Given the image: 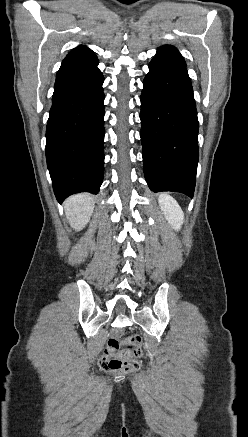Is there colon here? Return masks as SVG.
Returning a JSON list of instances; mask_svg holds the SVG:
<instances>
[{
  "mask_svg": "<svg viewBox=\"0 0 248 437\" xmlns=\"http://www.w3.org/2000/svg\"><path fill=\"white\" fill-rule=\"evenodd\" d=\"M142 355V338L139 335L124 340L111 337L99 360V365L106 372L131 373L139 368Z\"/></svg>",
  "mask_w": 248,
  "mask_h": 437,
  "instance_id": "5ec220e1",
  "label": "colon"
}]
</instances>
